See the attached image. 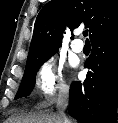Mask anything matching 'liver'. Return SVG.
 <instances>
[{
    "label": "liver",
    "instance_id": "obj_1",
    "mask_svg": "<svg viewBox=\"0 0 118 123\" xmlns=\"http://www.w3.org/2000/svg\"><path fill=\"white\" fill-rule=\"evenodd\" d=\"M5 123H62V120L57 113H34L12 116Z\"/></svg>",
    "mask_w": 118,
    "mask_h": 123
}]
</instances>
